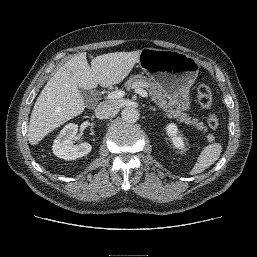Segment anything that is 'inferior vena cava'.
Masks as SVG:
<instances>
[{
  "instance_id": "inferior-vena-cava-1",
  "label": "inferior vena cava",
  "mask_w": 257,
  "mask_h": 257,
  "mask_svg": "<svg viewBox=\"0 0 257 257\" xmlns=\"http://www.w3.org/2000/svg\"><path fill=\"white\" fill-rule=\"evenodd\" d=\"M118 109V105L110 102H102L95 109V115L99 119H107Z\"/></svg>"
}]
</instances>
